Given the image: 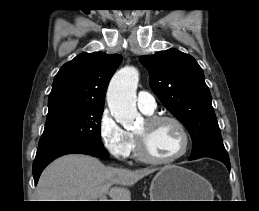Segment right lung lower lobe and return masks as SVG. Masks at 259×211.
I'll use <instances>...</instances> for the list:
<instances>
[{"label":"right lung lower lobe","instance_id":"98d812e1","mask_svg":"<svg viewBox=\"0 0 259 211\" xmlns=\"http://www.w3.org/2000/svg\"><path fill=\"white\" fill-rule=\"evenodd\" d=\"M70 153L87 154L99 158H108L109 153L103 147H95L75 142H62L39 147L33 162V177L35 185L43 169L54 159Z\"/></svg>","mask_w":259,"mask_h":211}]
</instances>
